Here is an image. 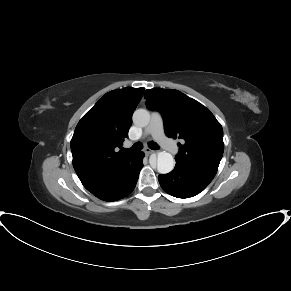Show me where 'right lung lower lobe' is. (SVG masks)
<instances>
[{
	"label": "right lung lower lobe",
	"mask_w": 291,
	"mask_h": 291,
	"mask_svg": "<svg viewBox=\"0 0 291 291\" xmlns=\"http://www.w3.org/2000/svg\"><path fill=\"white\" fill-rule=\"evenodd\" d=\"M143 152L135 153L131 160L114 172L97 179L82 182L93 195L104 201H116L130 194L136 186L143 167Z\"/></svg>",
	"instance_id": "98d812e1"
}]
</instances>
